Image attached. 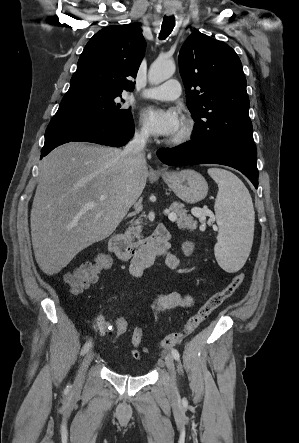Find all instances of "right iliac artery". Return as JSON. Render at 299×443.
<instances>
[{
	"instance_id": "82829eb1",
	"label": "right iliac artery",
	"mask_w": 299,
	"mask_h": 443,
	"mask_svg": "<svg viewBox=\"0 0 299 443\" xmlns=\"http://www.w3.org/2000/svg\"><path fill=\"white\" fill-rule=\"evenodd\" d=\"M91 348V342H86L81 350V355L86 354Z\"/></svg>"
}]
</instances>
